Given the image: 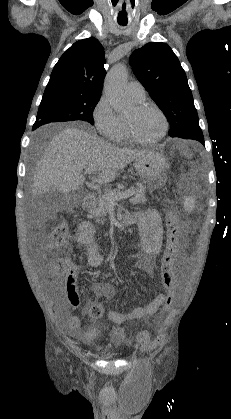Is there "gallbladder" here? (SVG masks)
I'll use <instances>...</instances> for the list:
<instances>
[{
  "instance_id": "bac80fb5",
  "label": "gallbladder",
  "mask_w": 231,
  "mask_h": 419,
  "mask_svg": "<svg viewBox=\"0 0 231 419\" xmlns=\"http://www.w3.org/2000/svg\"><path fill=\"white\" fill-rule=\"evenodd\" d=\"M42 199L38 202V206L48 210V213H54L55 209L63 203L65 195L56 189H51L45 194H41Z\"/></svg>"
}]
</instances>
